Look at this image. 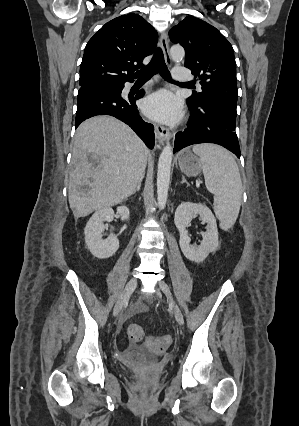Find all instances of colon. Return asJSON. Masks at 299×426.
Here are the masks:
<instances>
[{
  "label": "colon",
  "mask_w": 299,
  "mask_h": 426,
  "mask_svg": "<svg viewBox=\"0 0 299 426\" xmlns=\"http://www.w3.org/2000/svg\"><path fill=\"white\" fill-rule=\"evenodd\" d=\"M128 337L133 342H143L144 346L155 353L166 351L172 343L169 335L161 337H145L142 327L138 324H131L127 330ZM144 394V392H143Z\"/></svg>",
  "instance_id": "5ec220e1"
}]
</instances>
